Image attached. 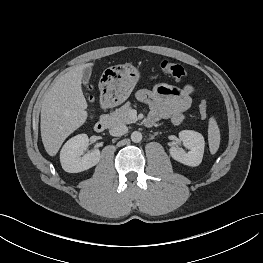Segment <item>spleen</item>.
<instances>
[{
	"label": "spleen",
	"mask_w": 263,
	"mask_h": 263,
	"mask_svg": "<svg viewBox=\"0 0 263 263\" xmlns=\"http://www.w3.org/2000/svg\"><path fill=\"white\" fill-rule=\"evenodd\" d=\"M208 143L210 152L212 155H214L218 151L220 145V130L216 120L213 117L209 119Z\"/></svg>",
	"instance_id": "3e777b00"
}]
</instances>
